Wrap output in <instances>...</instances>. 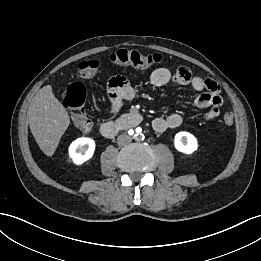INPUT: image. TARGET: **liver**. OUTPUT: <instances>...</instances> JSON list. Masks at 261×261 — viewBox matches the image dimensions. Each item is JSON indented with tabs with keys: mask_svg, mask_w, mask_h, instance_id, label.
<instances>
[{
	"mask_svg": "<svg viewBox=\"0 0 261 261\" xmlns=\"http://www.w3.org/2000/svg\"><path fill=\"white\" fill-rule=\"evenodd\" d=\"M28 117L31 133L38 146L44 154L52 156L69 126L70 118L50 85L36 93L28 108Z\"/></svg>",
	"mask_w": 261,
	"mask_h": 261,
	"instance_id": "1",
	"label": "liver"
}]
</instances>
